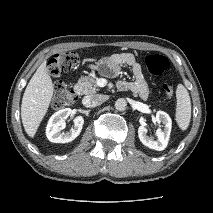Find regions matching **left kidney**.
<instances>
[{"instance_id": "5707ae66", "label": "left kidney", "mask_w": 213, "mask_h": 213, "mask_svg": "<svg viewBox=\"0 0 213 213\" xmlns=\"http://www.w3.org/2000/svg\"><path fill=\"white\" fill-rule=\"evenodd\" d=\"M156 121L159 124L162 123L164 125V130L161 128L156 130L157 140H154L147 135L148 129L144 125L139 126L138 136L143 145L153 150L162 151L167 147L172 128V121L170 116L163 111H158L156 113Z\"/></svg>"}]
</instances>
